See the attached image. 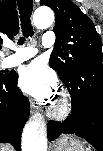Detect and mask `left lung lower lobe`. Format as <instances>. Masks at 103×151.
<instances>
[{
  "label": "left lung lower lobe",
  "mask_w": 103,
  "mask_h": 151,
  "mask_svg": "<svg viewBox=\"0 0 103 151\" xmlns=\"http://www.w3.org/2000/svg\"><path fill=\"white\" fill-rule=\"evenodd\" d=\"M86 65L91 71L90 79L85 80L80 70L62 80L71 95L72 114L62 124L48 122V140L53 141L61 133L76 134L103 151V59H90Z\"/></svg>",
  "instance_id": "obj_1"
}]
</instances>
